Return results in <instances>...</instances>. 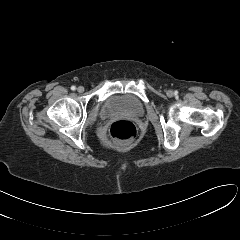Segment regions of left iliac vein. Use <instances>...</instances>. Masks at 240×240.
Instances as JSON below:
<instances>
[{"label": "left iliac vein", "mask_w": 240, "mask_h": 240, "mask_svg": "<svg viewBox=\"0 0 240 240\" xmlns=\"http://www.w3.org/2000/svg\"><path fill=\"white\" fill-rule=\"evenodd\" d=\"M167 95H168L169 97H172V96H173V91L168 90V91H167Z\"/></svg>", "instance_id": "4c4485c4"}]
</instances>
